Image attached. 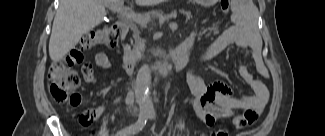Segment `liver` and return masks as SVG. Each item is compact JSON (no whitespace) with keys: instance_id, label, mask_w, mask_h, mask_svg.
<instances>
[{"instance_id":"obj_1","label":"liver","mask_w":325,"mask_h":136,"mask_svg":"<svg viewBox=\"0 0 325 136\" xmlns=\"http://www.w3.org/2000/svg\"><path fill=\"white\" fill-rule=\"evenodd\" d=\"M123 0H60L49 41L50 58L62 59L81 37L105 18V5ZM139 5H155L162 0H135Z\"/></svg>"}]
</instances>
